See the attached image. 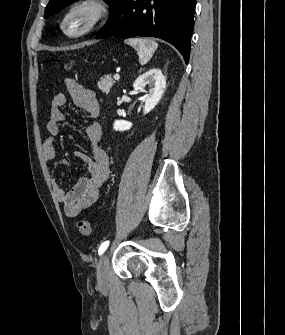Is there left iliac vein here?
Returning a JSON list of instances; mask_svg holds the SVG:
<instances>
[{
    "instance_id": "1",
    "label": "left iliac vein",
    "mask_w": 285,
    "mask_h": 335,
    "mask_svg": "<svg viewBox=\"0 0 285 335\" xmlns=\"http://www.w3.org/2000/svg\"><path fill=\"white\" fill-rule=\"evenodd\" d=\"M110 274H109V257L107 254H104L98 264L97 268V279L98 283L101 286L107 285L109 282Z\"/></svg>"
}]
</instances>
